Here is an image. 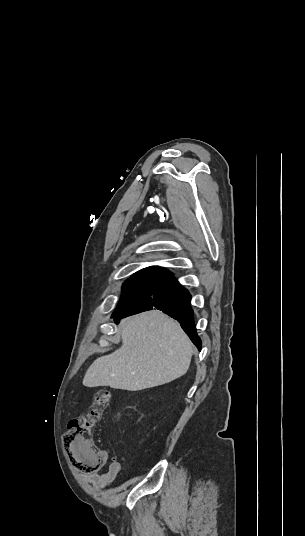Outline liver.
Wrapping results in <instances>:
<instances>
[{"mask_svg": "<svg viewBox=\"0 0 305 536\" xmlns=\"http://www.w3.org/2000/svg\"><path fill=\"white\" fill-rule=\"evenodd\" d=\"M122 346L97 358L88 368L83 386L116 390H145L169 384L189 370L192 344L180 324L151 310L120 324Z\"/></svg>", "mask_w": 305, "mask_h": 536, "instance_id": "6515ba94", "label": "liver"}]
</instances>
